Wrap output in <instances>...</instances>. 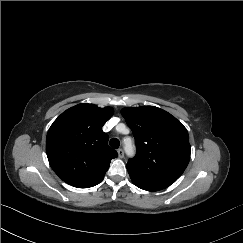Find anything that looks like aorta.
<instances>
[{"instance_id":"obj_1","label":"aorta","mask_w":243,"mask_h":243,"mask_svg":"<svg viewBox=\"0 0 243 243\" xmlns=\"http://www.w3.org/2000/svg\"><path fill=\"white\" fill-rule=\"evenodd\" d=\"M125 151L127 155L132 156L134 154V146L130 143H125Z\"/></svg>"}]
</instances>
